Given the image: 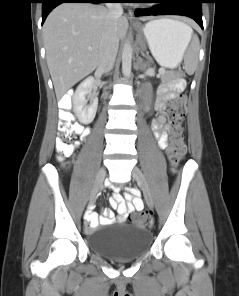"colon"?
Returning <instances> with one entry per match:
<instances>
[{"instance_id": "colon-1", "label": "colon", "mask_w": 239, "mask_h": 296, "mask_svg": "<svg viewBox=\"0 0 239 296\" xmlns=\"http://www.w3.org/2000/svg\"><path fill=\"white\" fill-rule=\"evenodd\" d=\"M185 97L179 95L167 107L166 114L172 125L168 156L172 167H177L185 155V144L182 124L185 116ZM81 126L73 121V115L68 106H63L59 112L58 139L56 148L61 158L67 157L74 151ZM133 222L147 225L150 221L148 210H141L132 217Z\"/></svg>"}]
</instances>
